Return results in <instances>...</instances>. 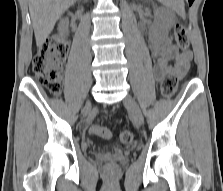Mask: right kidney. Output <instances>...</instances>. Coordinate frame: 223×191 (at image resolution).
<instances>
[{"label":"right kidney","mask_w":223,"mask_h":191,"mask_svg":"<svg viewBox=\"0 0 223 191\" xmlns=\"http://www.w3.org/2000/svg\"><path fill=\"white\" fill-rule=\"evenodd\" d=\"M58 27L61 35L66 37L68 35V19H62L59 22Z\"/></svg>","instance_id":"1"}]
</instances>
